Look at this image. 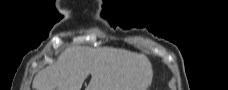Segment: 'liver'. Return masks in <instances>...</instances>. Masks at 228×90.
<instances>
[{
  "label": "liver",
  "mask_w": 228,
  "mask_h": 90,
  "mask_svg": "<svg viewBox=\"0 0 228 90\" xmlns=\"http://www.w3.org/2000/svg\"><path fill=\"white\" fill-rule=\"evenodd\" d=\"M147 90L153 70L143 54L124 49L67 47L57 61L41 70L33 80L35 90Z\"/></svg>",
  "instance_id": "1"
}]
</instances>
